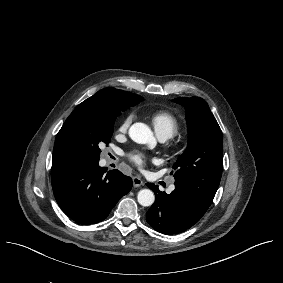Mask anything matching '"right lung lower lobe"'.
Listing matches in <instances>:
<instances>
[{
	"label": "right lung lower lobe",
	"instance_id": "obj_1",
	"mask_svg": "<svg viewBox=\"0 0 283 283\" xmlns=\"http://www.w3.org/2000/svg\"><path fill=\"white\" fill-rule=\"evenodd\" d=\"M98 162L81 164L51 176L57 203L66 215L80 224H94L107 218L133 185L132 179L118 170L105 174L106 168L100 167Z\"/></svg>",
	"mask_w": 283,
	"mask_h": 283
}]
</instances>
